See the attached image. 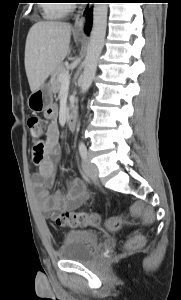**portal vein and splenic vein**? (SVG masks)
I'll return each mask as SVG.
<instances>
[{"label":"portal vein and splenic vein","instance_id":"obj_1","mask_svg":"<svg viewBox=\"0 0 181 300\" xmlns=\"http://www.w3.org/2000/svg\"><path fill=\"white\" fill-rule=\"evenodd\" d=\"M59 80L62 83V85H69L70 84V75L68 72L63 73L59 76Z\"/></svg>","mask_w":181,"mask_h":300}]
</instances>
